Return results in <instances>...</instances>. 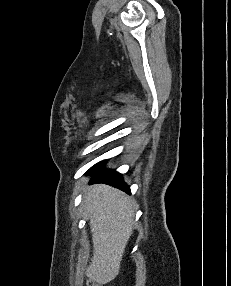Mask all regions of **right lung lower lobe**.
<instances>
[{"instance_id": "1", "label": "right lung lower lobe", "mask_w": 231, "mask_h": 286, "mask_svg": "<svg viewBox=\"0 0 231 286\" xmlns=\"http://www.w3.org/2000/svg\"><path fill=\"white\" fill-rule=\"evenodd\" d=\"M106 161H102L94 165L87 171V174L93 175V182L106 183L118 187L126 192H130V188L123 182L121 174L115 170H103Z\"/></svg>"}]
</instances>
